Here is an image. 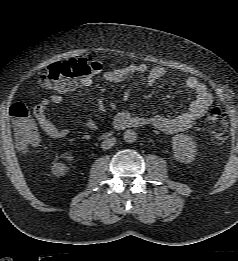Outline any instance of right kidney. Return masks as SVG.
<instances>
[{
    "label": "right kidney",
    "mask_w": 238,
    "mask_h": 261,
    "mask_svg": "<svg viewBox=\"0 0 238 261\" xmlns=\"http://www.w3.org/2000/svg\"><path fill=\"white\" fill-rule=\"evenodd\" d=\"M64 158L68 161L73 160V156L71 154H65ZM67 171H68V168L66 167V165L64 163H57L54 166V173L57 176H63L66 174Z\"/></svg>",
    "instance_id": "1"
}]
</instances>
